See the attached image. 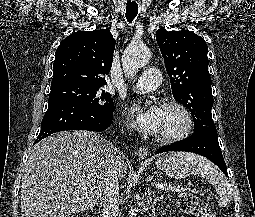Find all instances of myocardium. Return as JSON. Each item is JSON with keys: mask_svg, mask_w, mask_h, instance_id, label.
Here are the masks:
<instances>
[{"mask_svg": "<svg viewBox=\"0 0 255 217\" xmlns=\"http://www.w3.org/2000/svg\"><path fill=\"white\" fill-rule=\"evenodd\" d=\"M163 108L178 110L183 116L184 121L182 127L176 132L158 135V141L162 143H173L188 136L193 127V117L189 109L183 103L175 100L166 102Z\"/></svg>", "mask_w": 255, "mask_h": 217, "instance_id": "1", "label": "myocardium"}]
</instances>
